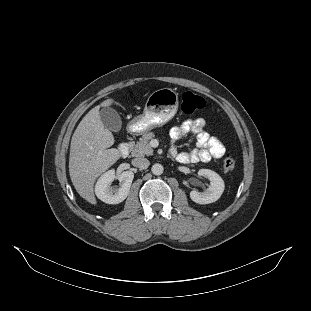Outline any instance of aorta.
Returning <instances> with one entry per match:
<instances>
[{
  "mask_svg": "<svg viewBox=\"0 0 311 311\" xmlns=\"http://www.w3.org/2000/svg\"><path fill=\"white\" fill-rule=\"evenodd\" d=\"M151 171L154 175H161L164 171V168L161 164L155 163L152 165Z\"/></svg>",
  "mask_w": 311,
  "mask_h": 311,
  "instance_id": "762f6f07",
  "label": "aorta"
}]
</instances>
